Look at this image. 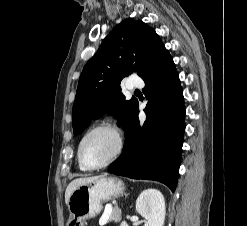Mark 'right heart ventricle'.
I'll list each match as a JSON object with an SVG mask.
<instances>
[{
	"mask_svg": "<svg viewBox=\"0 0 247 226\" xmlns=\"http://www.w3.org/2000/svg\"><path fill=\"white\" fill-rule=\"evenodd\" d=\"M79 167L84 170L85 168L79 163Z\"/></svg>",
	"mask_w": 247,
	"mask_h": 226,
	"instance_id": "right-heart-ventricle-1",
	"label": "right heart ventricle"
}]
</instances>
